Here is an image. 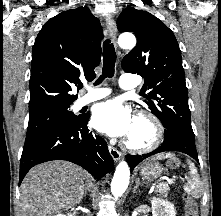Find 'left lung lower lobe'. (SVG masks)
<instances>
[{
    "mask_svg": "<svg viewBox=\"0 0 221 216\" xmlns=\"http://www.w3.org/2000/svg\"><path fill=\"white\" fill-rule=\"evenodd\" d=\"M166 151H179L191 156L197 162H199L195 147V139L187 138L178 134H175L174 136L171 137H166V138L164 137L162 145L157 149H155L154 151L148 154L138 155V156L127 155L126 160L131 166V170H133L134 167L138 165L145 158Z\"/></svg>",
    "mask_w": 221,
    "mask_h": 216,
    "instance_id": "obj_1",
    "label": "left lung lower lobe"
}]
</instances>
